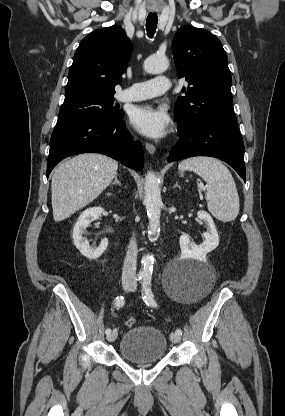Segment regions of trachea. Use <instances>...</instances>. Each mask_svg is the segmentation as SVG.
Instances as JSON below:
<instances>
[{
  "label": "trachea",
  "mask_w": 285,
  "mask_h": 416,
  "mask_svg": "<svg viewBox=\"0 0 285 416\" xmlns=\"http://www.w3.org/2000/svg\"><path fill=\"white\" fill-rule=\"evenodd\" d=\"M158 17L156 13H149L146 19V30L148 37L152 38L157 28Z\"/></svg>",
  "instance_id": "3493384b"
}]
</instances>
